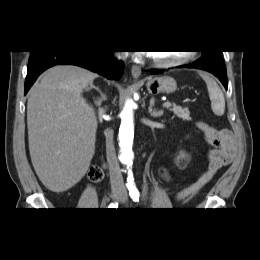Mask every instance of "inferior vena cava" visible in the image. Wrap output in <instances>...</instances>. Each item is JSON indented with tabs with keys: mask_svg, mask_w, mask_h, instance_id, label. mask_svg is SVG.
<instances>
[{
	"mask_svg": "<svg viewBox=\"0 0 260 260\" xmlns=\"http://www.w3.org/2000/svg\"><path fill=\"white\" fill-rule=\"evenodd\" d=\"M117 57L120 58L119 55H117ZM106 154L109 164L111 186L113 188L124 189V181L114 148L113 132L110 130H108L106 134Z\"/></svg>",
	"mask_w": 260,
	"mask_h": 260,
	"instance_id": "inferior-vena-cava-1",
	"label": "inferior vena cava"
}]
</instances>
